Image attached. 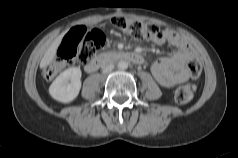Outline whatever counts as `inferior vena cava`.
Returning <instances> with one entry per match:
<instances>
[{
  "mask_svg": "<svg viewBox=\"0 0 238 158\" xmlns=\"http://www.w3.org/2000/svg\"><path fill=\"white\" fill-rule=\"evenodd\" d=\"M113 69H114V65H113V64H108V65H106V66L104 67L103 71H104L105 73H109V72H111Z\"/></svg>",
  "mask_w": 238,
  "mask_h": 158,
  "instance_id": "obj_1",
  "label": "inferior vena cava"
}]
</instances>
